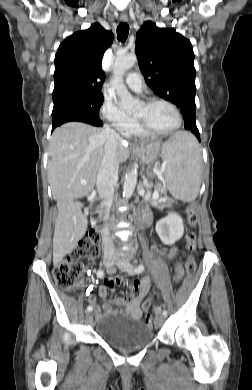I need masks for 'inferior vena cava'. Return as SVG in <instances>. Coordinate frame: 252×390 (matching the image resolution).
I'll list each match as a JSON object with an SVG mask.
<instances>
[{
	"mask_svg": "<svg viewBox=\"0 0 252 390\" xmlns=\"http://www.w3.org/2000/svg\"><path fill=\"white\" fill-rule=\"evenodd\" d=\"M106 136L105 154L97 175V190L101 199V208L106 214L109 213L114 198V185L118 180L119 162L116 158V150L120 136L109 127L104 130ZM104 252H114L115 246L106 227L101 231Z\"/></svg>",
	"mask_w": 252,
	"mask_h": 390,
	"instance_id": "1",
	"label": "inferior vena cava"
}]
</instances>
